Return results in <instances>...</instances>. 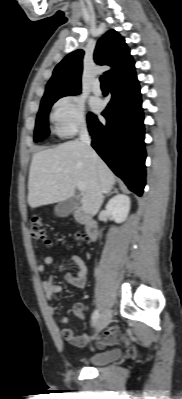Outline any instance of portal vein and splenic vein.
Masks as SVG:
<instances>
[{"mask_svg":"<svg viewBox=\"0 0 182 399\" xmlns=\"http://www.w3.org/2000/svg\"><path fill=\"white\" fill-rule=\"evenodd\" d=\"M77 188L79 189V191L84 192L86 187L84 183H78L77 184Z\"/></svg>","mask_w":182,"mask_h":399,"instance_id":"portal-vein-and-splenic-vein-1","label":"portal vein and splenic vein"}]
</instances>
